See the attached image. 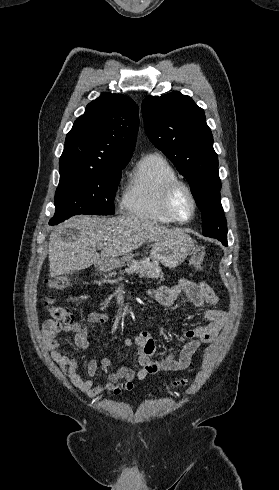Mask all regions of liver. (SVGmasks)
<instances>
[{
  "instance_id": "1",
  "label": "liver",
  "mask_w": 279,
  "mask_h": 490,
  "mask_svg": "<svg viewBox=\"0 0 279 490\" xmlns=\"http://www.w3.org/2000/svg\"><path fill=\"white\" fill-rule=\"evenodd\" d=\"M65 228H77L81 238L76 242H64L61 234ZM186 240L194 242L184 230L163 228L136 216L119 218H96V216H74L68 222L54 228L49 238V274L51 278L71 274L96 264L101 270L102 262L117 256H125L146 242ZM97 250H101L98 254Z\"/></svg>"
}]
</instances>
